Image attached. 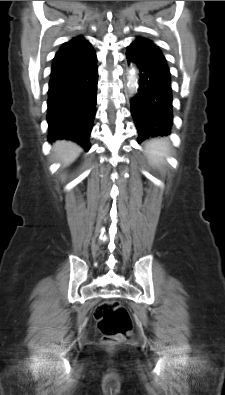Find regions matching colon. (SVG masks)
I'll return each mask as SVG.
<instances>
[{
    "label": "colon",
    "instance_id": "5ec220e1",
    "mask_svg": "<svg viewBox=\"0 0 225 395\" xmlns=\"http://www.w3.org/2000/svg\"><path fill=\"white\" fill-rule=\"evenodd\" d=\"M94 316L104 344L114 345L123 341L133 340L131 315L119 302H104L96 308Z\"/></svg>",
    "mask_w": 225,
    "mask_h": 395
}]
</instances>
